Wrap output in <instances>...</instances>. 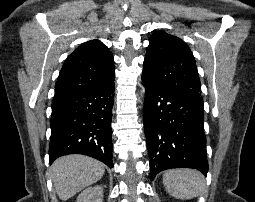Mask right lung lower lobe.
Wrapping results in <instances>:
<instances>
[{
  "instance_id": "1",
  "label": "right lung lower lobe",
  "mask_w": 255,
  "mask_h": 202,
  "mask_svg": "<svg viewBox=\"0 0 255 202\" xmlns=\"http://www.w3.org/2000/svg\"><path fill=\"white\" fill-rule=\"evenodd\" d=\"M114 80L106 85L55 95L52 101L50 164L60 156L84 154L110 168Z\"/></svg>"
}]
</instances>
